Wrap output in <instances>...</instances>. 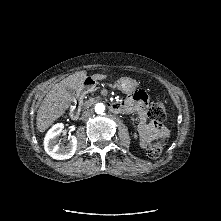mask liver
<instances>
[{"label":"liver","instance_id":"1","mask_svg":"<svg viewBox=\"0 0 221 221\" xmlns=\"http://www.w3.org/2000/svg\"><path fill=\"white\" fill-rule=\"evenodd\" d=\"M86 77V71H79L63 79L50 89L37 111L36 123L39 132L42 133L47 130L58 118L65 114L74 98L67 89H71L73 93L83 90ZM91 78L97 81L103 80L107 76L94 74Z\"/></svg>","mask_w":221,"mask_h":221}]
</instances>
